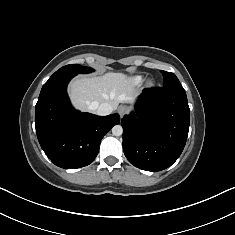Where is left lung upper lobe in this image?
<instances>
[{
  "mask_svg": "<svg viewBox=\"0 0 235 235\" xmlns=\"http://www.w3.org/2000/svg\"><path fill=\"white\" fill-rule=\"evenodd\" d=\"M161 73L164 77V81H163L164 87L181 85L175 74H173L171 72H166L163 70H161Z\"/></svg>",
  "mask_w": 235,
  "mask_h": 235,
  "instance_id": "1",
  "label": "left lung upper lobe"
}]
</instances>
